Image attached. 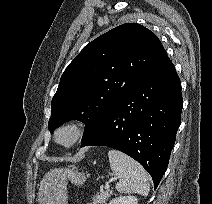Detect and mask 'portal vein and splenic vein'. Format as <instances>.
<instances>
[{"label": "portal vein and splenic vein", "mask_w": 212, "mask_h": 204, "mask_svg": "<svg viewBox=\"0 0 212 204\" xmlns=\"http://www.w3.org/2000/svg\"><path fill=\"white\" fill-rule=\"evenodd\" d=\"M114 180H117V178L114 177V178H111L109 181H107V182L105 183V188H106V189L109 188L110 183H111L112 181H114Z\"/></svg>", "instance_id": "portal-vein-and-splenic-vein-1"}]
</instances>
